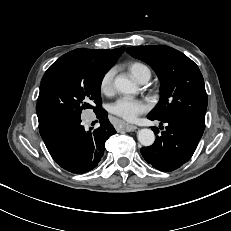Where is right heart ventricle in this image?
Wrapping results in <instances>:
<instances>
[{
    "mask_svg": "<svg viewBox=\"0 0 231 231\" xmlns=\"http://www.w3.org/2000/svg\"><path fill=\"white\" fill-rule=\"evenodd\" d=\"M128 71L130 72V74L136 79L138 80V78L140 77V75L144 72H149L150 70L148 68V66H146L144 63L135 61V62H131L127 65Z\"/></svg>",
    "mask_w": 231,
    "mask_h": 231,
    "instance_id": "1",
    "label": "right heart ventricle"
}]
</instances>
